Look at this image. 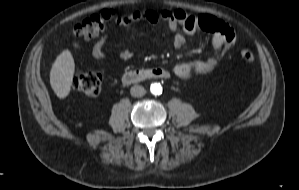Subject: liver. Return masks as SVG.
Segmentation results:
<instances>
[{"instance_id":"obj_1","label":"liver","mask_w":299,"mask_h":190,"mask_svg":"<svg viewBox=\"0 0 299 190\" xmlns=\"http://www.w3.org/2000/svg\"><path fill=\"white\" fill-rule=\"evenodd\" d=\"M75 70L74 59L69 50L63 51L50 71V85L59 98H65L71 89Z\"/></svg>"}]
</instances>
